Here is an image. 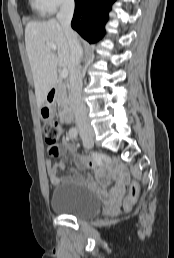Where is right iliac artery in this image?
Listing matches in <instances>:
<instances>
[{
	"label": "right iliac artery",
	"instance_id": "82829eb1",
	"mask_svg": "<svg viewBox=\"0 0 174 258\" xmlns=\"http://www.w3.org/2000/svg\"><path fill=\"white\" fill-rule=\"evenodd\" d=\"M69 135L71 138H75L77 136V130L76 129H71L69 131ZM98 161L101 163V159L99 157H97Z\"/></svg>",
	"mask_w": 174,
	"mask_h": 258
}]
</instances>
